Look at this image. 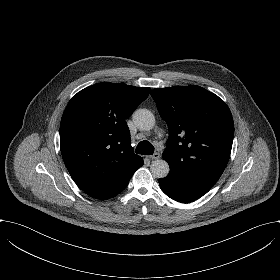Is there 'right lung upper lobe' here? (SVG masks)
I'll list each match as a JSON object with an SVG mask.
<instances>
[{
	"label": "right lung upper lobe",
	"mask_w": 280,
	"mask_h": 280,
	"mask_svg": "<svg viewBox=\"0 0 280 280\" xmlns=\"http://www.w3.org/2000/svg\"><path fill=\"white\" fill-rule=\"evenodd\" d=\"M150 90L98 83L67 104L60 124L61 154L74 182L90 197H115L143 165L131 147L126 119Z\"/></svg>",
	"instance_id": "obj_1"
}]
</instances>
